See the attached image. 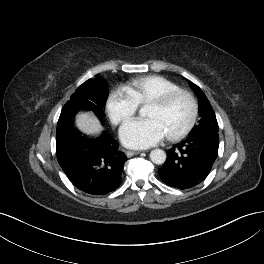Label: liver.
<instances>
[{
  "mask_svg": "<svg viewBox=\"0 0 264 264\" xmlns=\"http://www.w3.org/2000/svg\"><path fill=\"white\" fill-rule=\"evenodd\" d=\"M78 128L87 134H98L102 130L100 121L92 112L79 113L76 117Z\"/></svg>",
  "mask_w": 264,
  "mask_h": 264,
  "instance_id": "liver-1",
  "label": "liver"
}]
</instances>
